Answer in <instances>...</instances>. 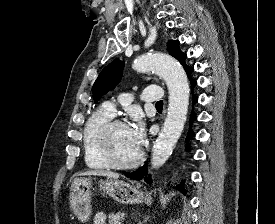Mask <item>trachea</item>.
<instances>
[{
  "label": "trachea",
  "instance_id": "obj_1",
  "mask_svg": "<svg viewBox=\"0 0 275 224\" xmlns=\"http://www.w3.org/2000/svg\"><path fill=\"white\" fill-rule=\"evenodd\" d=\"M156 106H157V107H159V106L162 107V106H163V101H158V102L156 103Z\"/></svg>",
  "mask_w": 275,
  "mask_h": 224
}]
</instances>
